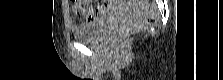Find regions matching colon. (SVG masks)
Segmentation results:
<instances>
[{
  "mask_svg": "<svg viewBox=\"0 0 223 80\" xmlns=\"http://www.w3.org/2000/svg\"><path fill=\"white\" fill-rule=\"evenodd\" d=\"M74 4L79 5L83 10H84V4L86 1H81V0H74ZM156 17L153 13H150L147 15L139 24H128L120 28L116 33H115V38H121L126 36L127 34L131 33L133 30H135L139 25H151L155 23Z\"/></svg>",
  "mask_w": 223,
  "mask_h": 80,
  "instance_id": "colon-1",
  "label": "colon"
}]
</instances>
